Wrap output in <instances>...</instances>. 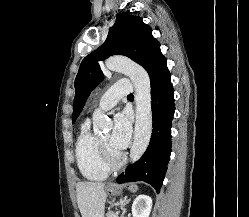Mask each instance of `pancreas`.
Wrapping results in <instances>:
<instances>
[{
    "label": "pancreas",
    "mask_w": 249,
    "mask_h": 217,
    "mask_svg": "<svg viewBox=\"0 0 249 217\" xmlns=\"http://www.w3.org/2000/svg\"><path fill=\"white\" fill-rule=\"evenodd\" d=\"M106 217H117V215L110 211L106 214Z\"/></svg>",
    "instance_id": "pancreas-1"
}]
</instances>
